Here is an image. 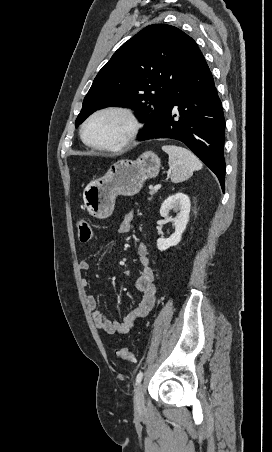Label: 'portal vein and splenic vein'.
I'll use <instances>...</instances> for the list:
<instances>
[{"label": "portal vein and splenic vein", "instance_id": "obj_1", "mask_svg": "<svg viewBox=\"0 0 272 452\" xmlns=\"http://www.w3.org/2000/svg\"><path fill=\"white\" fill-rule=\"evenodd\" d=\"M160 187H161V185H160V184H157V185H155V186L153 187V189H154L155 191H157V190L160 189Z\"/></svg>", "mask_w": 272, "mask_h": 452}]
</instances>
